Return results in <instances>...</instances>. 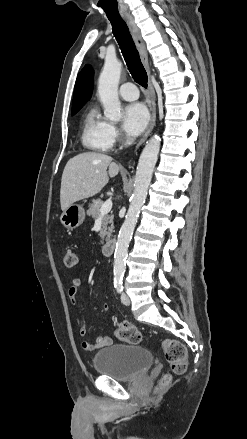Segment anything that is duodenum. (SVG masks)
Segmentation results:
<instances>
[{
    "label": "duodenum",
    "instance_id": "410a0bca",
    "mask_svg": "<svg viewBox=\"0 0 247 439\" xmlns=\"http://www.w3.org/2000/svg\"><path fill=\"white\" fill-rule=\"evenodd\" d=\"M115 247H116L115 240L109 239V240L104 242V244L102 246V253L105 256H111L115 251Z\"/></svg>",
    "mask_w": 247,
    "mask_h": 439
}]
</instances>
